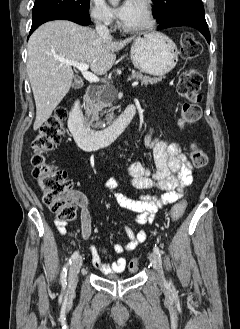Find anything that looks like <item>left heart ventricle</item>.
Segmentation results:
<instances>
[{"label":"left heart ventricle","mask_w":240,"mask_h":329,"mask_svg":"<svg viewBox=\"0 0 240 329\" xmlns=\"http://www.w3.org/2000/svg\"><path fill=\"white\" fill-rule=\"evenodd\" d=\"M145 21V11L138 0L134 1V5L129 16L123 20V23L129 26L140 25Z\"/></svg>","instance_id":"b2bd125f"}]
</instances>
